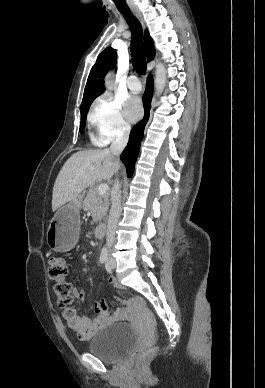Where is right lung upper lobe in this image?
<instances>
[{
  "instance_id": "right-lung-upper-lobe-1",
  "label": "right lung upper lobe",
  "mask_w": 265,
  "mask_h": 388,
  "mask_svg": "<svg viewBox=\"0 0 265 388\" xmlns=\"http://www.w3.org/2000/svg\"><path fill=\"white\" fill-rule=\"evenodd\" d=\"M144 40L148 60L150 61L155 56V50L153 42L147 32L145 33ZM116 58V51L111 47L106 48L99 55L96 63L92 67L91 72L89 74L81 106L87 101L92 100L97 96L101 95L105 91L104 76L109 69H112L115 66Z\"/></svg>"
}]
</instances>
